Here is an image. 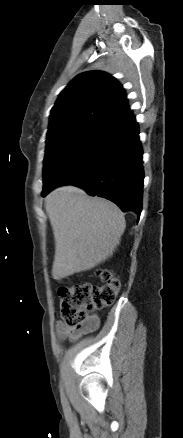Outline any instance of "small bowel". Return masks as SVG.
<instances>
[{
    "label": "small bowel",
    "instance_id": "obj_1",
    "mask_svg": "<svg viewBox=\"0 0 183 438\" xmlns=\"http://www.w3.org/2000/svg\"><path fill=\"white\" fill-rule=\"evenodd\" d=\"M99 324V318L97 315L88 317L87 321L80 327H69L63 322L57 323V333L61 337H70L76 339L83 333L95 329Z\"/></svg>",
    "mask_w": 183,
    "mask_h": 438
}]
</instances>
